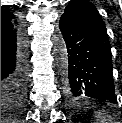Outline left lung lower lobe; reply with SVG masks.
<instances>
[{
  "instance_id": "obj_1",
  "label": "left lung lower lobe",
  "mask_w": 122,
  "mask_h": 123,
  "mask_svg": "<svg viewBox=\"0 0 122 123\" xmlns=\"http://www.w3.org/2000/svg\"><path fill=\"white\" fill-rule=\"evenodd\" d=\"M59 27L67 50L64 86L68 99L115 102L108 39L65 14Z\"/></svg>"
}]
</instances>
